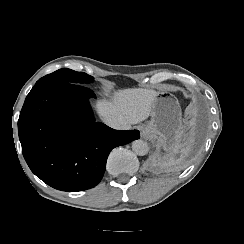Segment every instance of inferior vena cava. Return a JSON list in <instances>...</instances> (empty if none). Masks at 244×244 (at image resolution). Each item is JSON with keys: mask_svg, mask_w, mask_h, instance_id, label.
Here are the masks:
<instances>
[{"mask_svg": "<svg viewBox=\"0 0 244 244\" xmlns=\"http://www.w3.org/2000/svg\"><path fill=\"white\" fill-rule=\"evenodd\" d=\"M103 120L105 121V123L107 125H109L110 127L114 128V129H129L130 128V126L128 125V123L125 120H119L115 117L105 116V117H103Z\"/></svg>", "mask_w": 244, "mask_h": 244, "instance_id": "inferior-vena-cava-1", "label": "inferior vena cava"}]
</instances>
